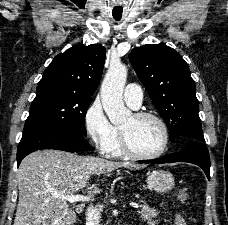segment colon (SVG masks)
I'll return each instance as SVG.
<instances>
[{"instance_id":"5ec220e1","label":"colon","mask_w":228,"mask_h":225,"mask_svg":"<svg viewBox=\"0 0 228 225\" xmlns=\"http://www.w3.org/2000/svg\"><path fill=\"white\" fill-rule=\"evenodd\" d=\"M179 196L181 198H183L185 196V191L184 189H181L179 191ZM174 224L175 225H186L187 222H186V219L184 218V216L181 214V213H177L174 217Z\"/></svg>"}]
</instances>
